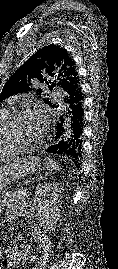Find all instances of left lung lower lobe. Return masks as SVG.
Here are the masks:
<instances>
[{"instance_id":"left-lung-lower-lobe-1","label":"left lung lower lobe","mask_w":118,"mask_h":269,"mask_svg":"<svg viewBox=\"0 0 118 269\" xmlns=\"http://www.w3.org/2000/svg\"><path fill=\"white\" fill-rule=\"evenodd\" d=\"M83 100L81 87L67 93L64 97L65 108L57 122L55 143L46 149L48 153L68 156L77 168H80L82 156Z\"/></svg>"}]
</instances>
